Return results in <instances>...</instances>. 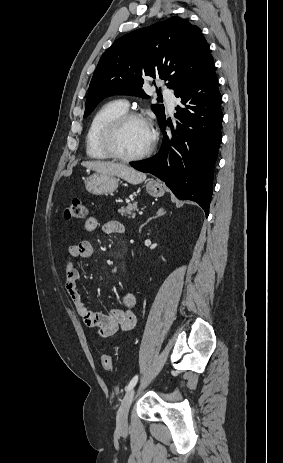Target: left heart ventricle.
I'll return each instance as SVG.
<instances>
[{
	"instance_id": "1",
	"label": "left heart ventricle",
	"mask_w": 283,
	"mask_h": 463,
	"mask_svg": "<svg viewBox=\"0 0 283 463\" xmlns=\"http://www.w3.org/2000/svg\"><path fill=\"white\" fill-rule=\"evenodd\" d=\"M151 141L149 127L142 121L131 120L124 124L114 141L116 150L125 156H132L144 151Z\"/></svg>"
}]
</instances>
